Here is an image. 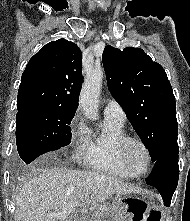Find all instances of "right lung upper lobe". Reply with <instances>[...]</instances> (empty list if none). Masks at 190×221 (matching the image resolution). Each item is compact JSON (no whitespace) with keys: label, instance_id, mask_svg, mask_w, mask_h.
<instances>
[{"label":"right lung upper lobe","instance_id":"1","mask_svg":"<svg viewBox=\"0 0 190 221\" xmlns=\"http://www.w3.org/2000/svg\"><path fill=\"white\" fill-rule=\"evenodd\" d=\"M82 53L65 39L43 46L28 62L18 90L19 112L32 108L76 111L82 87Z\"/></svg>","mask_w":190,"mask_h":221}]
</instances>
